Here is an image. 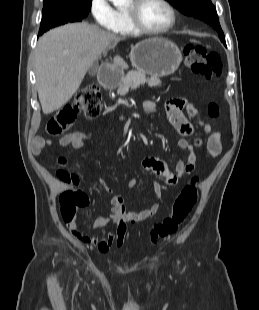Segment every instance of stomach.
Masks as SVG:
<instances>
[{
	"instance_id": "obj_1",
	"label": "stomach",
	"mask_w": 259,
	"mask_h": 310,
	"mask_svg": "<svg viewBox=\"0 0 259 310\" xmlns=\"http://www.w3.org/2000/svg\"><path fill=\"white\" fill-rule=\"evenodd\" d=\"M132 65L141 73L163 77L173 74L182 61L178 46L164 38L137 43L130 52Z\"/></svg>"
}]
</instances>
